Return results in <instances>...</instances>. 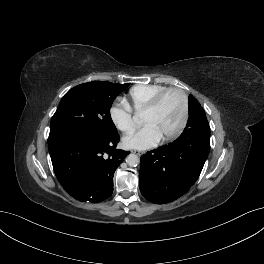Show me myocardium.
Here are the masks:
<instances>
[{
  "mask_svg": "<svg viewBox=\"0 0 264 264\" xmlns=\"http://www.w3.org/2000/svg\"><path fill=\"white\" fill-rule=\"evenodd\" d=\"M173 92L179 94L181 97L182 117H181V121H180L178 127L173 132H171L170 134L162 137L163 142H169V141L175 139L185 129L187 122H188V117H189V101H188L187 94L180 88H176V87L166 88L165 90L159 92L143 110V113H150V112L155 111L158 108V106L161 104L163 99L169 93H173Z\"/></svg>",
  "mask_w": 264,
  "mask_h": 264,
  "instance_id": "1",
  "label": "myocardium"
}]
</instances>
